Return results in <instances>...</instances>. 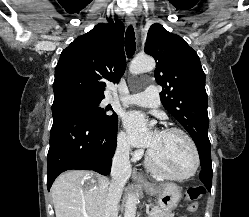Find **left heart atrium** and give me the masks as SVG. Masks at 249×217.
<instances>
[{
	"label": "left heart atrium",
	"instance_id": "1",
	"mask_svg": "<svg viewBox=\"0 0 249 217\" xmlns=\"http://www.w3.org/2000/svg\"><path fill=\"white\" fill-rule=\"evenodd\" d=\"M131 142L136 146L152 148L159 136V131L147 129L146 118L140 112H130L124 118Z\"/></svg>",
	"mask_w": 249,
	"mask_h": 217
}]
</instances>
